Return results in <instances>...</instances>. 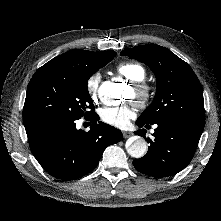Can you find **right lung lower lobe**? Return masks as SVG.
Masks as SVG:
<instances>
[{
	"label": "right lung lower lobe",
	"mask_w": 221,
	"mask_h": 221,
	"mask_svg": "<svg viewBox=\"0 0 221 221\" xmlns=\"http://www.w3.org/2000/svg\"><path fill=\"white\" fill-rule=\"evenodd\" d=\"M85 132L76 129L75 120L32 119L24 121L30 149L50 175L61 180H75L98 164L104 150L118 143L120 130L103 122L94 113Z\"/></svg>",
	"instance_id": "right-lung-lower-lobe-1"
}]
</instances>
